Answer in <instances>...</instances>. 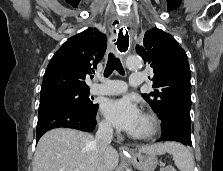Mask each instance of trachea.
<instances>
[{
	"label": "trachea",
	"mask_w": 223,
	"mask_h": 171,
	"mask_svg": "<svg viewBox=\"0 0 223 171\" xmlns=\"http://www.w3.org/2000/svg\"><path fill=\"white\" fill-rule=\"evenodd\" d=\"M116 70L119 74L124 75V68L119 58H116L112 53L108 55L107 65L104 71V76L108 77Z\"/></svg>",
	"instance_id": "obj_1"
}]
</instances>
